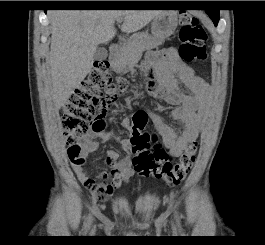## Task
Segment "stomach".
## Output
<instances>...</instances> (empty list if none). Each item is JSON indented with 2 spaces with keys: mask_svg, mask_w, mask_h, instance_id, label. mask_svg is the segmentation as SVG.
<instances>
[{
  "mask_svg": "<svg viewBox=\"0 0 265 245\" xmlns=\"http://www.w3.org/2000/svg\"><path fill=\"white\" fill-rule=\"evenodd\" d=\"M177 25V13L175 11H165L153 19L151 24V32L154 38L164 39L174 33Z\"/></svg>",
  "mask_w": 265,
  "mask_h": 245,
  "instance_id": "0dacf381",
  "label": "stomach"
}]
</instances>
